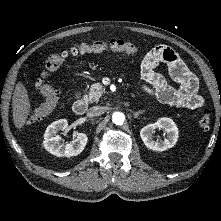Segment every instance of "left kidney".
<instances>
[{
	"label": "left kidney",
	"mask_w": 221,
	"mask_h": 221,
	"mask_svg": "<svg viewBox=\"0 0 221 221\" xmlns=\"http://www.w3.org/2000/svg\"><path fill=\"white\" fill-rule=\"evenodd\" d=\"M164 129L166 132V138L160 141L153 140V132L155 129ZM140 136L144 144L154 151H165L173 147L178 140V128L174 121L170 118H160L153 124H148L140 131Z\"/></svg>",
	"instance_id": "left-kidney-1"
}]
</instances>
